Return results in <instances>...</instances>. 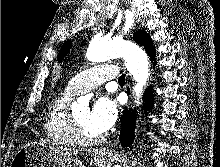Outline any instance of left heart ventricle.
I'll list each match as a JSON object with an SVG mask.
<instances>
[{
  "mask_svg": "<svg viewBox=\"0 0 220 167\" xmlns=\"http://www.w3.org/2000/svg\"><path fill=\"white\" fill-rule=\"evenodd\" d=\"M78 122L80 123L81 125V128L84 132V134L87 136V137H97L99 136L100 134L97 133L96 131H94L91 126L89 125V120H88V117H89V109L87 107L85 108H81L79 110H76L74 112Z\"/></svg>",
  "mask_w": 220,
  "mask_h": 167,
  "instance_id": "b2bd125f",
  "label": "left heart ventricle"
}]
</instances>
